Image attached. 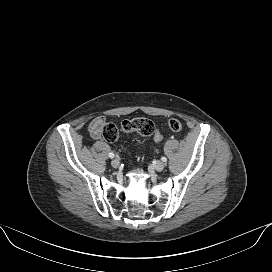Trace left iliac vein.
<instances>
[{
  "instance_id": "obj_1",
  "label": "left iliac vein",
  "mask_w": 272,
  "mask_h": 272,
  "mask_svg": "<svg viewBox=\"0 0 272 272\" xmlns=\"http://www.w3.org/2000/svg\"><path fill=\"white\" fill-rule=\"evenodd\" d=\"M164 167H165V164L161 161H156L153 164V169H155L158 172H161L164 169Z\"/></svg>"
}]
</instances>
